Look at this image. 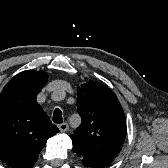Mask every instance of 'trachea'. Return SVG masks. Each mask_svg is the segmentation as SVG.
<instances>
[{
  "mask_svg": "<svg viewBox=\"0 0 168 168\" xmlns=\"http://www.w3.org/2000/svg\"><path fill=\"white\" fill-rule=\"evenodd\" d=\"M54 123H63L62 112L60 109L56 108L53 114Z\"/></svg>",
  "mask_w": 168,
  "mask_h": 168,
  "instance_id": "obj_1",
  "label": "trachea"
}]
</instances>
